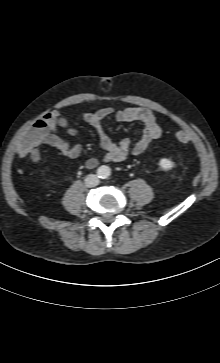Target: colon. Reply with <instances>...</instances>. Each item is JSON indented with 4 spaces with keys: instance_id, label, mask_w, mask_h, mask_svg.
<instances>
[{
    "instance_id": "5ec220e1",
    "label": "colon",
    "mask_w": 220,
    "mask_h": 363,
    "mask_svg": "<svg viewBox=\"0 0 220 363\" xmlns=\"http://www.w3.org/2000/svg\"><path fill=\"white\" fill-rule=\"evenodd\" d=\"M34 125H35V127L39 128V129L34 131L31 134V138L35 143H38L42 139V136H43L42 128H44L45 123H44V121H37ZM173 135H174V138L176 139V141H178L180 143H188L190 141L189 135L182 130L174 131Z\"/></svg>"
}]
</instances>
